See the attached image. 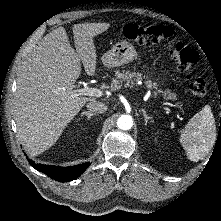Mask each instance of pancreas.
I'll return each mask as SVG.
<instances>
[{
  "label": "pancreas",
  "instance_id": "cf45deb5",
  "mask_svg": "<svg viewBox=\"0 0 221 221\" xmlns=\"http://www.w3.org/2000/svg\"><path fill=\"white\" fill-rule=\"evenodd\" d=\"M115 78L112 79L111 83V89L112 90H118L121 88L123 82H126L127 84L135 85L134 81L142 80V75L140 73L130 72L128 71H117L115 74ZM150 82L146 81V84L148 85ZM153 86V84H151ZM164 97L167 99H176V94L171 93L170 91L166 90L163 93Z\"/></svg>",
  "mask_w": 221,
  "mask_h": 221
}]
</instances>
